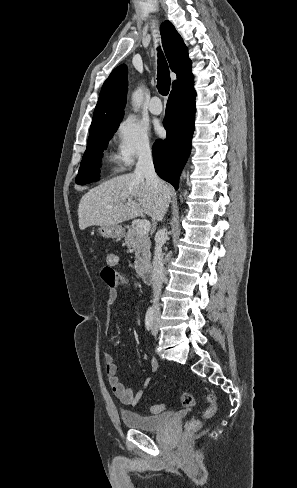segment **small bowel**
I'll list each match as a JSON object with an SVG mask.
<instances>
[{"label": "small bowel", "instance_id": "1", "mask_svg": "<svg viewBox=\"0 0 297 488\" xmlns=\"http://www.w3.org/2000/svg\"><path fill=\"white\" fill-rule=\"evenodd\" d=\"M118 262V258L113 253H108L105 256V263L109 266H115ZM129 285V280L126 274L122 272H115L114 283L108 286L107 294V305H113L119 296V288H124ZM148 359L147 356H144ZM105 371L108 378L109 385L114 393V395L124 404L134 406L136 405L143 396L144 389L147 388L151 383V377H146L142 389L134 392L131 388L125 386L118 377V367L114 361L111 353L106 352L103 356ZM158 369V361L155 358L150 359V370L152 373L156 372Z\"/></svg>", "mask_w": 297, "mask_h": 488}]
</instances>
